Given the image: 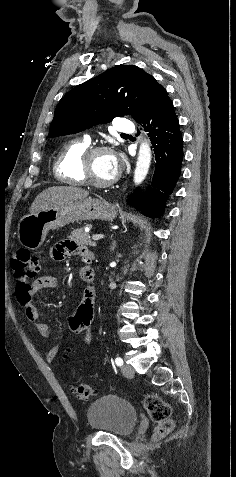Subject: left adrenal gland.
Segmentation results:
<instances>
[{"label": "left adrenal gland", "mask_w": 236, "mask_h": 477, "mask_svg": "<svg viewBox=\"0 0 236 477\" xmlns=\"http://www.w3.org/2000/svg\"><path fill=\"white\" fill-rule=\"evenodd\" d=\"M116 248V241L112 242L111 250L114 251Z\"/></svg>", "instance_id": "1"}]
</instances>
